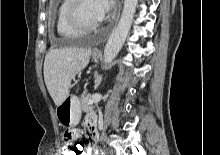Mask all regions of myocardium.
<instances>
[{
    "mask_svg": "<svg viewBox=\"0 0 220 155\" xmlns=\"http://www.w3.org/2000/svg\"><path fill=\"white\" fill-rule=\"evenodd\" d=\"M82 2L83 0H71L66 11V19L72 28L87 33L97 29L100 23H89L82 18L80 12Z\"/></svg>",
    "mask_w": 220,
    "mask_h": 155,
    "instance_id": "1",
    "label": "myocardium"
}]
</instances>
